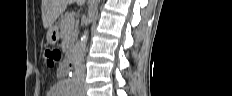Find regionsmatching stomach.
<instances>
[{
	"label": "stomach",
	"instance_id": "0dacf381",
	"mask_svg": "<svg viewBox=\"0 0 232 96\" xmlns=\"http://www.w3.org/2000/svg\"><path fill=\"white\" fill-rule=\"evenodd\" d=\"M60 37L61 35L59 32V28L57 26H53L49 29L47 33V42L51 45H54L60 39Z\"/></svg>",
	"mask_w": 232,
	"mask_h": 96
}]
</instances>
